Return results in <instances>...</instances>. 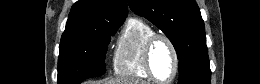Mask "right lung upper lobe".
Here are the masks:
<instances>
[{"mask_svg":"<svg viewBox=\"0 0 260 84\" xmlns=\"http://www.w3.org/2000/svg\"><path fill=\"white\" fill-rule=\"evenodd\" d=\"M127 14L126 0H79L71 8L61 41L87 38L97 25L124 22Z\"/></svg>","mask_w":260,"mask_h":84,"instance_id":"right-lung-upper-lobe-1","label":"right lung upper lobe"}]
</instances>
